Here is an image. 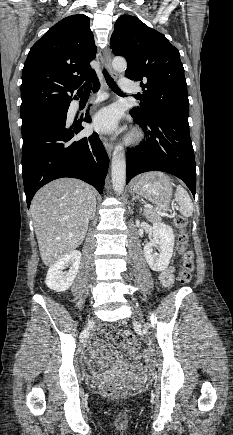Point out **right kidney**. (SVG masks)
<instances>
[{
    "label": "right kidney",
    "mask_w": 233,
    "mask_h": 435,
    "mask_svg": "<svg viewBox=\"0 0 233 435\" xmlns=\"http://www.w3.org/2000/svg\"><path fill=\"white\" fill-rule=\"evenodd\" d=\"M80 261L81 253L78 250H74L59 259L48 270L45 280L47 287L56 292L68 290L77 275ZM66 266H70V269L68 272H63L62 270Z\"/></svg>",
    "instance_id": "ca27d5eb"
}]
</instances>
